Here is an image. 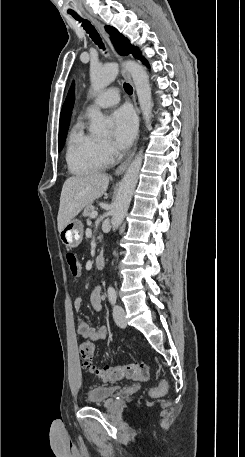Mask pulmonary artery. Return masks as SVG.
I'll return each instance as SVG.
<instances>
[{
  "instance_id": "pulmonary-artery-1",
  "label": "pulmonary artery",
  "mask_w": 245,
  "mask_h": 457,
  "mask_svg": "<svg viewBox=\"0 0 245 457\" xmlns=\"http://www.w3.org/2000/svg\"><path fill=\"white\" fill-rule=\"evenodd\" d=\"M118 92L114 90V88L109 87L106 90L105 96L104 95H99L98 98H95L92 103L90 104L89 107H91L92 104H97L98 108H104L108 106L115 105L119 102V97H118Z\"/></svg>"
}]
</instances>
